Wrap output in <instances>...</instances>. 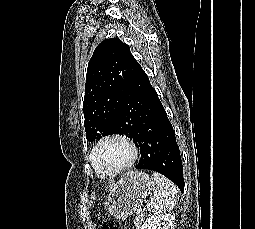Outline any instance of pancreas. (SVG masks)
Returning a JSON list of instances; mask_svg holds the SVG:
<instances>
[{"label": "pancreas", "instance_id": "obj_1", "mask_svg": "<svg viewBox=\"0 0 255 229\" xmlns=\"http://www.w3.org/2000/svg\"><path fill=\"white\" fill-rule=\"evenodd\" d=\"M145 217H146V214L144 211L137 212L136 217L134 219V224L136 229H141V225L144 222Z\"/></svg>", "mask_w": 255, "mask_h": 229}]
</instances>
